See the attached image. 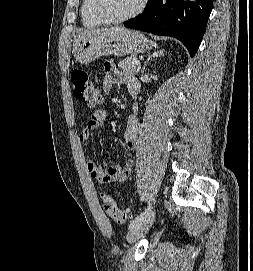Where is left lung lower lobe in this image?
I'll return each instance as SVG.
<instances>
[{
    "label": "left lung lower lobe",
    "mask_w": 253,
    "mask_h": 271,
    "mask_svg": "<svg viewBox=\"0 0 253 271\" xmlns=\"http://www.w3.org/2000/svg\"><path fill=\"white\" fill-rule=\"evenodd\" d=\"M212 7L213 0H150L145 11L124 26L175 37L193 57L202 41Z\"/></svg>",
    "instance_id": "left-lung-lower-lobe-1"
}]
</instances>
